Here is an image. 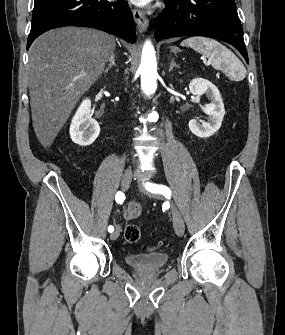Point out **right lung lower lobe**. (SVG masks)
<instances>
[{
	"mask_svg": "<svg viewBox=\"0 0 285 335\" xmlns=\"http://www.w3.org/2000/svg\"><path fill=\"white\" fill-rule=\"evenodd\" d=\"M97 28L133 43V15L125 0H35L27 49L42 33L64 26Z\"/></svg>",
	"mask_w": 285,
	"mask_h": 335,
	"instance_id": "1",
	"label": "right lung lower lobe"
}]
</instances>
